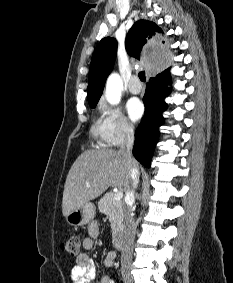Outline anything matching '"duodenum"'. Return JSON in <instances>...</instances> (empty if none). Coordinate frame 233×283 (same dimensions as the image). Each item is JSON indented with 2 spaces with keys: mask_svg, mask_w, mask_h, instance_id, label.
<instances>
[{
  "mask_svg": "<svg viewBox=\"0 0 233 283\" xmlns=\"http://www.w3.org/2000/svg\"><path fill=\"white\" fill-rule=\"evenodd\" d=\"M123 244V236L121 234H117L116 238H115V246L116 248L119 250L121 249Z\"/></svg>",
  "mask_w": 233,
  "mask_h": 283,
  "instance_id": "obj_1",
  "label": "duodenum"
}]
</instances>
